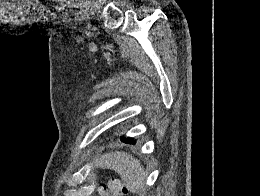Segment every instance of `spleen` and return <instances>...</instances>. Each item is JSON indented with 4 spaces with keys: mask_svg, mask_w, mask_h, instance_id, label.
Instances as JSON below:
<instances>
[{
    "mask_svg": "<svg viewBox=\"0 0 260 196\" xmlns=\"http://www.w3.org/2000/svg\"><path fill=\"white\" fill-rule=\"evenodd\" d=\"M95 166L104 170H114L116 174H119L129 192L136 194L144 188L146 172L141 162L132 158L127 152H111V154L101 156L95 160Z\"/></svg>",
    "mask_w": 260,
    "mask_h": 196,
    "instance_id": "1",
    "label": "spleen"
}]
</instances>
